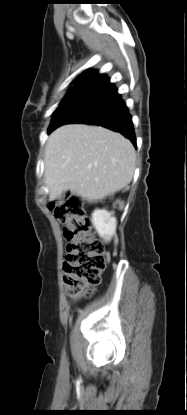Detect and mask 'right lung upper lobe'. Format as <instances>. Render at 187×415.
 <instances>
[{
	"label": "right lung upper lobe",
	"instance_id": "1",
	"mask_svg": "<svg viewBox=\"0 0 187 415\" xmlns=\"http://www.w3.org/2000/svg\"><path fill=\"white\" fill-rule=\"evenodd\" d=\"M94 72H96L95 70H86V71H84L83 73H81L78 77H76L75 78V80L73 81L75 84H74V86L72 87V89L78 84V83H80L81 81H83L85 78H87L88 76H90L91 74H93ZM72 89H70L69 90V92L68 93H70L71 92V90Z\"/></svg>",
	"mask_w": 187,
	"mask_h": 415
}]
</instances>
